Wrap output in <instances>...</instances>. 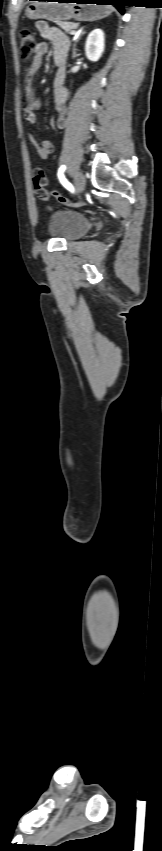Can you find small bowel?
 Segmentation results:
<instances>
[{
	"label": "small bowel",
	"mask_w": 162,
	"mask_h": 851,
	"mask_svg": "<svg viewBox=\"0 0 162 851\" xmlns=\"http://www.w3.org/2000/svg\"><path fill=\"white\" fill-rule=\"evenodd\" d=\"M36 27L39 33L52 44V57L57 65V71L53 81V100L55 103L56 117L54 125L63 129L66 125L67 101L69 90L64 86L65 66L69 53L70 42L67 36L58 28L50 26L45 21H38ZM49 51L47 42H40L35 49V55L31 65L27 68L24 89V119L29 125L36 123V111L40 109L41 102L35 96L33 80L41 67L42 59ZM29 142L35 147L39 157L43 160L49 158L54 152V145L49 140L39 141L33 134H28Z\"/></svg>",
	"instance_id": "obj_1"
}]
</instances>
